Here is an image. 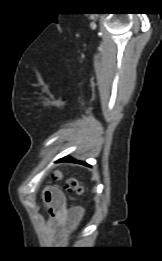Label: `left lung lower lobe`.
<instances>
[{
	"mask_svg": "<svg viewBox=\"0 0 162 261\" xmlns=\"http://www.w3.org/2000/svg\"><path fill=\"white\" fill-rule=\"evenodd\" d=\"M59 161L76 162V160H74V159H72V158H69V157H64V158L60 159ZM79 163L87 165L85 162H79Z\"/></svg>",
	"mask_w": 162,
	"mask_h": 261,
	"instance_id": "0a47b994",
	"label": "left lung lower lobe"
}]
</instances>
